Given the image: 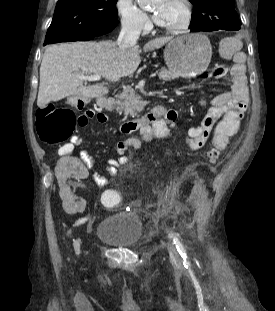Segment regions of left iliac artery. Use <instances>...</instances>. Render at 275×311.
I'll list each match as a JSON object with an SVG mask.
<instances>
[{"label":"left iliac artery","mask_w":275,"mask_h":311,"mask_svg":"<svg viewBox=\"0 0 275 311\" xmlns=\"http://www.w3.org/2000/svg\"><path fill=\"white\" fill-rule=\"evenodd\" d=\"M171 237L173 239V243L175 244L179 254L183 258L184 263H185V261L187 259V255H186V250H185L184 246L182 245V243L179 241V239L174 234L171 233Z\"/></svg>","instance_id":"obj_1"}]
</instances>
